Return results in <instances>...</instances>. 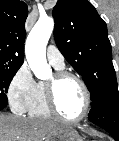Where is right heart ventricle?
<instances>
[{"mask_svg":"<svg viewBox=\"0 0 119 141\" xmlns=\"http://www.w3.org/2000/svg\"><path fill=\"white\" fill-rule=\"evenodd\" d=\"M55 68L57 70L63 69V67L62 68L55 67ZM44 85L45 84L43 82L37 83L36 95L34 97L32 104L28 109V114L30 117L49 118L52 115L46 104Z\"/></svg>","mask_w":119,"mask_h":141,"instance_id":"obj_1","label":"right heart ventricle"}]
</instances>
